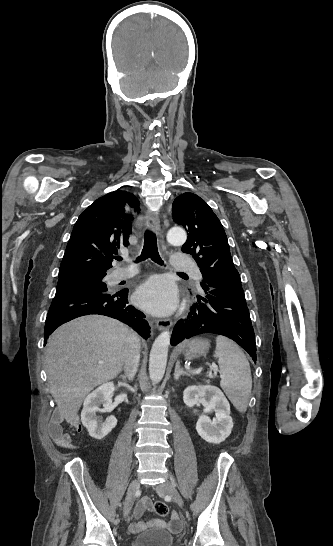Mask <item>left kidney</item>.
<instances>
[{
  "instance_id": "left-kidney-1",
  "label": "left kidney",
  "mask_w": 333,
  "mask_h": 546,
  "mask_svg": "<svg viewBox=\"0 0 333 546\" xmlns=\"http://www.w3.org/2000/svg\"><path fill=\"white\" fill-rule=\"evenodd\" d=\"M183 400L188 407L202 404L207 410L215 412L212 420L206 414H201L197 421L196 430L205 441L221 443L230 435L233 428L230 404L218 387L189 386L184 390Z\"/></svg>"
}]
</instances>
